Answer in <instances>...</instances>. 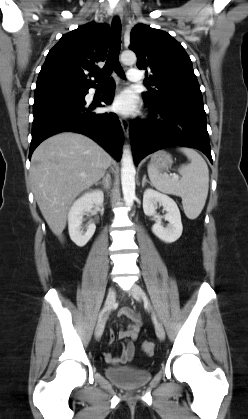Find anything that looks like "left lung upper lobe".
Here are the masks:
<instances>
[{"mask_svg": "<svg viewBox=\"0 0 248 419\" xmlns=\"http://www.w3.org/2000/svg\"><path fill=\"white\" fill-rule=\"evenodd\" d=\"M137 55V67L152 73L148 92L143 93L148 105L167 101H202V93L193 71L192 62L182 47L169 33L145 24L133 27L130 46Z\"/></svg>", "mask_w": 248, "mask_h": 419, "instance_id": "obj_1", "label": "left lung upper lobe"}]
</instances>
